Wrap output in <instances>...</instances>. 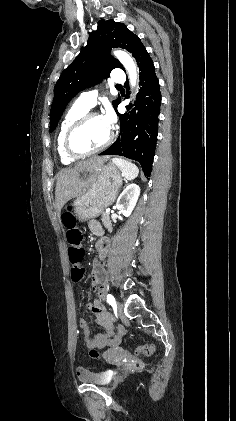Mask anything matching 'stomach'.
Listing matches in <instances>:
<instances>
[{
  "label": "stomach",
  "mask_w": 236,
  "mask_h": 421,
  "mask_svg": "<svg viewBox=\"0 0 236 421\" xmlns=\"http://www.w3.org/2000/svg\"><path fill=\"white\" fill-rule=\"evenodd\" d=\"M80 176L84 186L73 202L74 213L78 221H89L99 217L104 213V208L113 204L123 178L115 162L95 168H83Z\"/></svg>",
  "instance_id": "1"
}]
</instances>
